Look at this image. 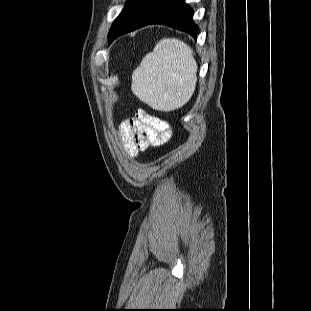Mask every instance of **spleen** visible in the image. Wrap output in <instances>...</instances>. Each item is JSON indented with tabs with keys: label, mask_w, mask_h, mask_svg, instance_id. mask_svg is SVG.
Here are the masks:
<instances>
[{
	"label": "spleen",
	"mask_w": 311,
	"mask_h": 311,
	"mask_svg": "<svg viewBox=\"0 0 311 311\" xmlns=\"http://www.w3.org/2000/svg\"><path fill=\"white\" fill-rule=\"evenodd\" d=\"M196 73L193 50L183 41L164 38L134 70L131 90L153 109L173 111L192 97Z\"/></svg>",
	"instance_id": "1"
}]
</instances>
